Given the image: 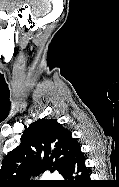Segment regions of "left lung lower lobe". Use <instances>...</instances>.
I'll list each match as a JSON object with an SVG mask.
<instances>
[{
	"label": "left lung lower lobe",
	"mask_w": 119,
	"mask_h": 187,
	"mask_svg": "<svg viewBox=\"0 0 119 187\" xmlns=\"http://www.w3.org/2000/svg\"><path fill=\"white\" fill-rule=\"evenodd\" d=\"M62 176L72 182H86L87 179H89V172L85 166L84 156L79 144L74 146L70 155L68 166Z\"/></svg>",
	"instance_id": "0a47b994"
}]
</instances>
